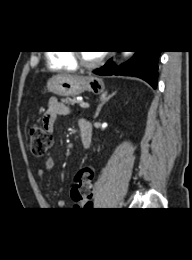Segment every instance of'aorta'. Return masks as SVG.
Here are the masks:
<instances>
[{
  "mask_svg": "<svg viewBox=\"0 0 192 260\" xmlns=\"http://www.w3.org/2000/svg\"><path fill=\"white\" fill-rule=\"evenodd\" d=\"M124 53H125V55H127V54H129V53H131V52L127 51V52H124Z\"/></svg>",
  "mask_w": 192,
  "mask_h": 260,
  "instance_id": "obj_1",
  "label": "aorta"
}]
</instances>
